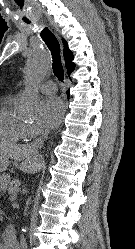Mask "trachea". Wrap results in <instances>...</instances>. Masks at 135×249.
Listing matches in <instances>:
<instances>
[{"instance_id": "trachea-1", "label": "trachea", "mask_w": 135, "mask_h": 249, "mask_svg": "<svg viewBox=\"0 0 135 249\" xmlns=\"http://www.w3.org/2000/svg\"><path fill=\"white\" fill-rule=\"evenodd\" d=\"M41 37L46 43L49 50L51 51L52 58H53L52 69H53L54 74L60 81H63L64 70H63V66L61 62L59 42L56 36L48 28H44L42 30Z\"/></svg>"}]
</instances>
